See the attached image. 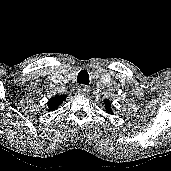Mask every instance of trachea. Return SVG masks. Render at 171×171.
Wrapping results in <instances>:
<instances>
[{
  "label": "trachea",
  "mask_w": 171,
  "mask_h": 171,
  "mask_svg": "<svg viewBox=\"0 0 171 171\" xmlns=\"http://www.w3.org/2000/svg\"><path fill=\"white\" fill-rule=\"evenodd\" d=\"M77 82L80 84L88 85L89 84V74L87 71L82 70L78 73Z\"/></svg>",
  "instance_id": "3493384b"
}]
</instances>
